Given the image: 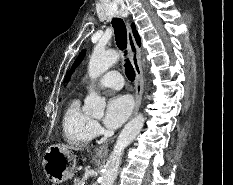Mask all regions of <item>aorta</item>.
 Segmentation results:
<instances>
[{"label": "aorta", "instance_id": "obj_1", "mask_svg": "<svg viewBox=\"0 0 233 185\" xmlns=\"http://www.w3.org/2000/svg\"><path fill=\"white\" fill-rule=\"evenodd\" d=\"M120 57L116 50L101 51L95 49L88 66V73L92 79H96L115 64ZM106 103L95 92H91L84 100L83 111L93 117H102ZM144 117L138 114L121 131L114 145L104 172L101 175L100 185H113L117 178L119 166L125 148L136 138L144 126Z\"/></svg>", "mask_w": 233, "mask_h": 185}]
</instances>
